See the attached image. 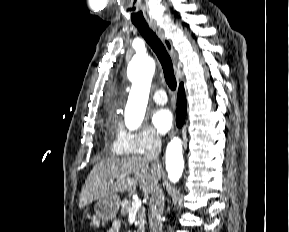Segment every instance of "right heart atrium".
I'll list each match as a JSON object with an SVG mask.
<instances>
[{
	"instance_id": "d8ad5b80",
	"label": "right heart atrium",
	"mask_w": 289,
	"mask_h": 232,
	"mask_svg": "<svg viewBox=\"0 0 289 232\" xmlns=\"http://www.w3.org/2000/svg\"><path fill=\"white\" fill-rule=\"evenodd\" d=\"M160 146L161 138L152 128L131 131L118 124L112 149L120 155H143L158 150Z\"/></svg>"
}]
</instances>
